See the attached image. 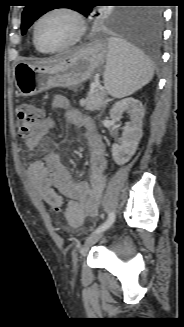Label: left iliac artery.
Masks as SVG:
<instances>
[{
	"label": "left iliac artery",
	"mask_w": 184,
	"mask_h": 327,
	"mask_svg": "<svg viewBox=\"0 0 184 327\" xmlns=\"http://www.w3.org/2000/svg\"><path fill=\"white\" fill-rule=\"evenodd\" d=\"M115 221V213L112 211L109 213V216L107 218V220L102 224L100 225L94 233H97V232H101V231H104L106 230L107 228H109L112 223Z\"/></svg>",
	"instance_id": "1"
}]
</instances>
